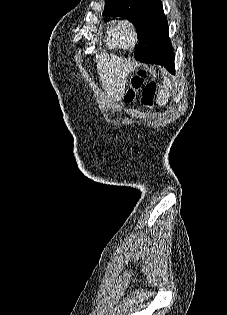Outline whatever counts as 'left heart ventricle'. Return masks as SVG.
I'll return each mask as SVG.
<instances>
[{
	"label": "left heart ventricle",
	"mask_w": 227,
	"mask_h": 315,
	"mask_svg": "<svg viewBox=\"0 0 227 315\" xmlns=\"http://www.w3.org/2000/svg\"><path fill=\"white\" fill-rule=\"evenodd\" d=\"M126 42L127 43L131 42V36L129 34L126 35Z\"/></svg>",
	"instance_id": "left-heart-ventricle-1"
}]
</instances>
